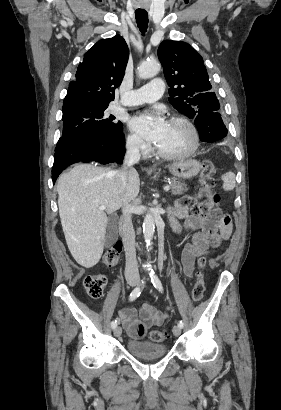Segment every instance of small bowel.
<instances>
[{"label":"small bowel","instance_id":"small-bowel-1","mask_svg":"<svg viewBox=\"0 0 281 410\" xmlns=\"http://www.w3.org/2000/svg\"><path fill=\"white\" fill-rule=\"evenodd\" d=\"M199 204L198 197L185 196L178 199L170 208V223L176 233L184 230L192 232V241L182 246L180 251V265L184 277L189 280L195 269V260L205 255L211 246L220 239H228L232 233V223H225L218 213L200 214L196 212ZM177 217H185L184 224L177 221ZM168 307L159 311L150 304H143L140 317L132 307H125L119 312V320L132 339H142L146 330L151 326H158L168 317Z\"/></svg>","mask_w":281,"mask_h":410}]
</instances>
